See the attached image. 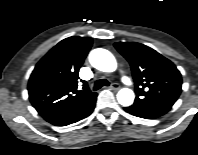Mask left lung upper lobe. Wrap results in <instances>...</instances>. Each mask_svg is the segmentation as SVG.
Returning a JSON list of instances; mask_svg holds the SVG:
<instances>
[{"instance_id": "5c2ea615", "label": "left lung upper lobe", "mask_w": 198, "mask_h": 155, "mask_svg": "<svg viewBox=\"0 0 198 155\" xmlns=\"http://www.w3.org/2000/svg\"><path fill=\"white\" fill-rule=\"evenodd\" d=\"M115 48L131 65L135 82V105L171 108L182 89L176 66L152 48L136 42H117Z\"/></svg>"}]
</instances>
